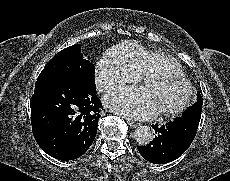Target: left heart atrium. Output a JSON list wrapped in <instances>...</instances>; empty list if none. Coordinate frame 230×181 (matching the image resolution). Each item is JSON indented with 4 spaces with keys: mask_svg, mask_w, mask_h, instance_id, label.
I'll return each mask as SVG.
<instances>
[{
    "mask_svg": "<svg viewBox=\"0 0 230 181\" xmlns=\"http://www.w3.org/2000/svg\"><path fill=\"white\" fill-rule=\"evenodd\" d=\"M144 89L131 87L109 94L105 98L106 106L123 116L133 119H149L157 110L142 95Z\"/></svg>",
    "mask_w": 230,
    "mask_h": 181,
    "instance_id": "left-heart-atrium-1",
    "label": "left heart atrium"
}]
</instances>
